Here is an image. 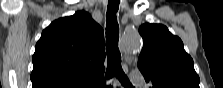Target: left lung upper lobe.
Here are the masks:
<instances>
[{
  "label": "left lung upper lobe",
  "mask_w": 223,
  "mask_h": 88,
  "mask_svg": "<svg viewBox=\"0 0 223 88\" xmlns=\"http://www.w3.org/2000/svg\"><path fill=\"white\" fill-rule=\"evenodd\" d=\"M139 33L144 39L138 68L153 88H199V76L181 39L161 24L145 23Z\"/></svg>",
  "instance_id": "5c2ea615"
}]
</instances>
